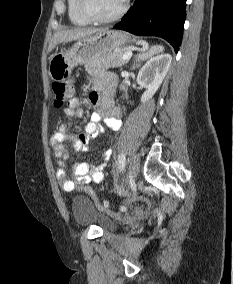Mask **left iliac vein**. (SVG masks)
I'll return each instance as SVG.
<instances>
[{
	"mask_svg": "<svg viewBox=\"0 0 233 284\" xmlns=\"http://www.w3.org/2000/svg\"><path fill=\"white\" fill-rule=\"evenodd\" d=\"M140 169V158L138 155H133L129 162V177L135 178Z\"/></svg>",
	"mask_w": 233,
	"mask_h": 284,
	"instance_id": "4c4485c4",
	"label": "left iliac vein"
}]
</instances>
